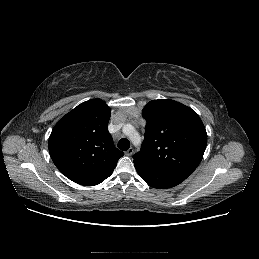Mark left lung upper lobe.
Instances as JSON below:
<instances>
[{"label":"left lung upper lobe","mask_w":259,"mask_h":259,"mask_svg":"<svg viewBox=\"0 0 259 259\" xmlns=\"http://www.w3.org/2000/svg\"><path fill=\"white\" fill-rule=\"evenodd\" d=\"M145 138L134 162L183 179L200 164L207 144L205 127L191 108L169 99L147 103Z\"/></svg>","instance_id":"1"}]
</instances>
